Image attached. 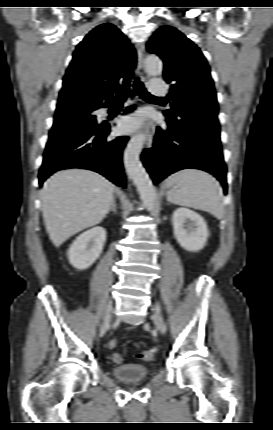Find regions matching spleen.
Segmentation results:
<instances>
[{
  "label": "spleen",
  "instance_id": "3e777b00",
  "mask_svg": "<svg viewBox=\"0 0 273 430\" xmlns=\"http://www.w3.org/2000/svg\"><path fill=\"white\" fill-rule=\"evenodd\" d=\"M165 184L169 202L207 211L218 219L224 217L220 185L208 173L193 168L182 169L171 174Z\"/></svg>",
  "mask_w": 273,
  "mask_h": 430
}]
</instances>
